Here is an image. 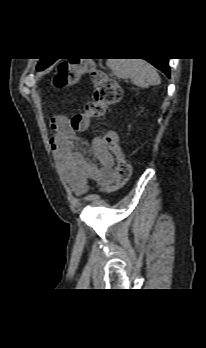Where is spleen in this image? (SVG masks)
Wrapping results in <instances>:
<instances>
[{
	"mask_svg": "<svg viewBox=\"0 0 206 348\" xmlns=\"http://www.w3.org/2000/svg\"><path fill=\"white\" fill-rule=\"evenodd\" d=\"M107 66L115 76L131 79L138 87L148 88L161 81L156 69L143 59H108Z\"/></svg>",
	"mask_w": 206,
	"mask_h": 348,
	"instance_id": "obj_1",
	"label": "spleen"
}]
</instances>
